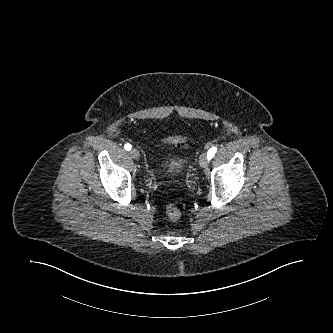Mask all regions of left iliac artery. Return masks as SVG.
<instances>
[{"label": "left iliac artery", "instance_id": "obj_1", "mask_svg": "<svg viewBox=\"0 0 333 333\" xmlns=\"http://www.w3.org/2000/svg\"><path fill=\"white\" fill-rule=\"evenodd\" d=\"M216 152H217V147L216 146L211 147L207 152L208 160H211Z\"/></svg>", "mask_w": 333, "mask_h": 333}]
</instances>
